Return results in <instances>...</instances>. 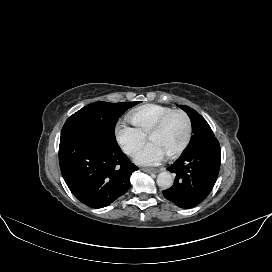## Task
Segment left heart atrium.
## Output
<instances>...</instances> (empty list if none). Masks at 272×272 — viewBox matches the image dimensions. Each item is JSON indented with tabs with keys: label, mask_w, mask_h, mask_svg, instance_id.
<instances>
[{
	"label": "left heart atrium",
	"mask_w": 272,
	"mask_h": 272,
	"mask_svg": "<svg viewBox=\"0 0 272 272\" xmlns=\"http://www.w3.org/2000/svg\"><path fill=\"white\" fill-rule=\"evenodd\" d=\"M165 153L154 142L149 141L135 156L136 163L144 166L159 164L165 157Z\"/></svg>",
	"instance_id": "left-heart-atrium-1"
}]
</instances>
